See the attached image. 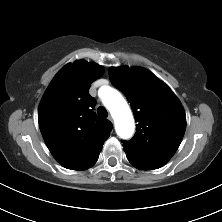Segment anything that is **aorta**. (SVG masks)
Instances as JSON below:
<instances>
[{
    "label": "aorta",
    "mask_w": 222,
    "mask_h": 222,
    "mask_svg": "<svg viewBox=\"0 0 222 222\" xmlns=\"http://www.w3.org/2000/svg\"><path fill=\"white\" fill-rule=\"evenodd\" d=\"M102 102L114 119L117 134L123 139L131 137L135 124L131 110L123 96L117 90L108 87L102 96Z\"/></svg>",
    "instance_id": "obj_1"
}]
</instances>
